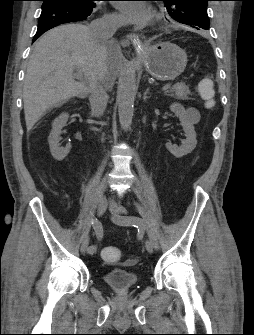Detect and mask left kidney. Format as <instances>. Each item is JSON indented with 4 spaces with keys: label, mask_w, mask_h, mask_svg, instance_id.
Masks as SVG:
<instances>
[{
    "label": "left kidney",
    "mask_w": 254,
    "mask_h": 335,
    "mask_svg": "<svg viewBox=\"0 0 254 335\" xmlns=\"http://www.w3.org/2000/svg\"><path fill=\"white\" fill-rule=\"evenodd\" d=\"M170 109L179 118L185 132L186 139L182 141V144L180 146L168 142L166 143V148L172 155L177 158H181L191 153L195 149L197 144L196 132L193 124L188 120L186 111L181 104L173 103L172 105H170Z\"/></svg>",
    "instance_id": "left-kidney-1"
}]
</instances>
